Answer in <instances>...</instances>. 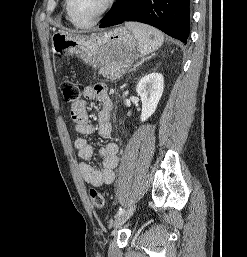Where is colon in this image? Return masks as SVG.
<instances>
[{
    "label": "colon",
    "mask_w": 247,
    "mask_h": 257,
    "mask_svg": "<svg viewBox=\"0 0 247 257\" xmlns=\"http://www.w3.org/2000/svg\"><path fill=\"white\" fill-rule=\"evenodd\" d=\"M61 91L64 101L68 104H74L80 100L82 95V87L72 79L65 77L60 82ZM90 199L95 208L101 209L104 207L105 200L103 195L95 190H90Z\"/></svg>",
    "instance_id": "1"
}]
</instances>
